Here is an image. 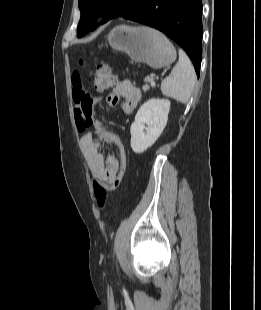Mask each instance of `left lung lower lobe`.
<instances>
[{
    "label": "left lung lower lobe",
    "instance_id": "1",
    "mask_svg": "<svg viewBox=\"0 0 261 310\" xmlns=\"http://www.w3.org/2000/svg\"><path fill=\"white\" fill-rule=\"evenodd\" d=\"M122 17L156 28L172 38L187 52L199 77L203 31L201 0H134Z\"/></svg>",
    "mask_w": 261,
    "mask_h": 310
}]
</instances>
